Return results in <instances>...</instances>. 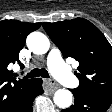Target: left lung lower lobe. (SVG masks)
<instances>
[{
  "label": "left lung lower lobe",
  "mask_w": 112,
  "mask_h": 112,
  "mask_svg": "<svg viewBox=\"0 0 112 112\" xmlns=\"http://www.w3.org/2000/svg\"><path fill=\"white\" fill-rule=\"evenodd\" d=\"M74 95V104L61 112H106L112 99L82 95L71 89Z\"/></svg>",
  "instance_id": "obj_1"
}]
</instances>
